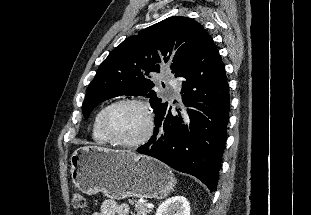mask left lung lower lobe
<instances>
[{
  "mask_svg": "<svg viewBox=\"0 0 311 215\" xmlns=\"http://www.w3.org/2000/svg\"><path fill=\"white\" fill-rule=\"evenodd\" d=\"M175 77L182 81L184 110L172 114L167 103L156 114L153 136L137 152L191 174L216 191L230 104L224 65L209 35Z\"/></svg>",
  "mask_w": 311,
  "mask_h": 215,
  "instance_id": "obj_1",
  "label": "left lung lower lobe"
}]
</instances>
